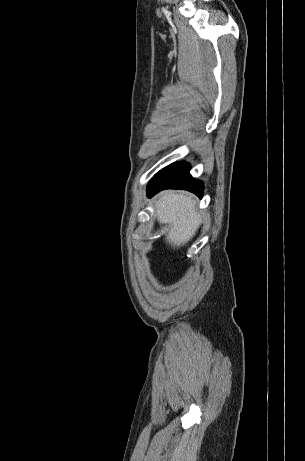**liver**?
Listing matches in <instances>:
<instances>
[{
	"label": "liver",
	"instance_id": "liver-1",
	"mask_svg": "<svg viewBox=\"0 0 305 461\" xmlns=\"http://www.w3.org/2000/svg\"><path fill=\"white\" fill-rule=\"evenodd\" d=\"M156 217L159 223L169 224L166 240L174 248L190 241L201 224L195 200L185 192L160 193L156 201Z\"/></svg>",
	"mask_w": 305,
	"mask_h": 461
}]
</instances>
